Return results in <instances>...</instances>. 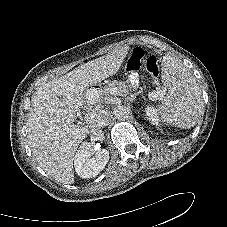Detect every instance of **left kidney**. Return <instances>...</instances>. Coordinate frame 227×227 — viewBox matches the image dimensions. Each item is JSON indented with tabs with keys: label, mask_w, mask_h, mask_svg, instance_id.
<instances>
[{
	"label": "left kidney",
	"mask_w": 227,
	"mask_h": 227,
	"mask_svg": "<svg viewBox=\"0 0 227 227\" xmlns=\"http://www.w3.org/2000/svg\"><path fill=\"white\" fill-rule=\"evenodd\" d=\"M147 119L153 124V125H158V119H157V114L154 108L148 107L145 110Z\"/></svg>",
	"instance_id": "obj_1"
}]
</instances>
